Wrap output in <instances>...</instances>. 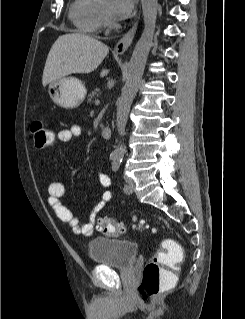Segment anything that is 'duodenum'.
Listing matches in <instances>:
<instances>
[{
    "label": "duodenum",
    "mask_w": 245,
    "mask_h": 319,
    "mask_svg": "<svg viewBox=\"0 0 245 319\" xmlns=\"http://www.w3.org/2000/svg\"><path fill=\"white\" fill-rule=\"evenodd\" d=\"M101 135H102L103 139L109 140L112 137L111 128L108 126L103 127L101 130Z\"/></svg>",
    "instance_id": "410a0bca"
}]
</instances>
